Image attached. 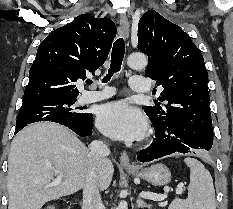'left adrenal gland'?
Returning a JSON list of instances; mask_svg holds the SVG:
<instances>
[{
  "label": "left adrenal gland",
  "instance_id": "1",
  "mask_svg": "<svg viewBox=\"0 0 233 209\" xmlns=\"http://www.w3.org/2000/svg\"><path fill=\"white\" fill-rule=\"evenodd\" d=\"M137 208H148L150 209V205L145 203L143 200H141L140 198L137 199V203H136Z\"/></svg>",
  "mask_w": 233,
  "mask_h": 209
}]
</instances>
